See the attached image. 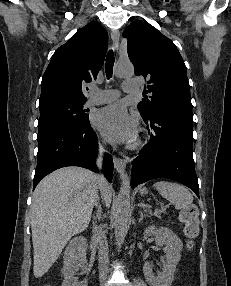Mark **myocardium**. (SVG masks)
<instances>
[{
    "instance_id": "1",
    "label": "myocardium",
    "mask_w": 231,
    "mask_h": 286,
    "mask_svg": "<svg viewBox=\"0 0 231 286\" xmlns=\"http://www.w3.org/2000/svg\"><path fill=\"white\" fill-rule=\"evenodd\" d=\"M140 146V143H136L135 145H134V148H138Z\"/></svg>"
}]
</instances>
